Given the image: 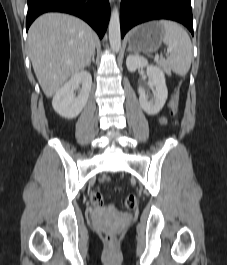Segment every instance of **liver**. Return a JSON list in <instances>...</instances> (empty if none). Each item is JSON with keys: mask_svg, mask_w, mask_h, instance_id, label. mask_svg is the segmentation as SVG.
<instances>
[{"mask_svg": "<svg viewBox=\"0 0 227 265\" xmlns=\"http://www.w3.org/2000/svg\"><path fill=\"white\" fill-rule=\"evenodd\" d=\"M27 43L35 75L48 98L82 71L95 53L92 28L62 13L38 17L28 31Z\"/></svg>", "mask_w": 227, "mask_h": 265, "instance_id": "1", "label": "liver"}]
</instances>
